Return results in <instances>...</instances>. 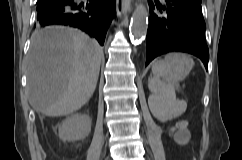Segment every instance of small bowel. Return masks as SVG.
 I'll return each instance as SVG.
<instances>
[{
	"label": "small bowel",
	"mask_w": 242,
	"mask_h": 160,
	"mask_svg": "<svg viewBox=\"0 0 242 160\" xmlns=\"http://www.w3.org/2000/svg\"><path fill=\"white\" fill-rule=\"evenodd\" d=\"M190 137L189 130L187 129V124L182 122L178 126V131L176 133V139L181 145L188 143Z\"/></svg>",
	"instance_id": "obj_1"
}]
</instances>
